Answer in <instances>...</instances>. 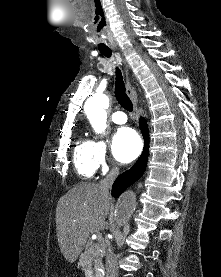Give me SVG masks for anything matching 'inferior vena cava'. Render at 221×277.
<instances>
[{
	"instance_id": "602c4592",
	"label": "inferior vena cava",
	"mask_w": 221,
	"mask_h": 277,
	"mask_svg": "<svg viewBox=\"0 0 221 277\" xmlns=\"http://www.w3.org/2000/svg\"><path fill=\"white\" fill-rule=\"evenodd\" d=\"M119 174V168L113 167L106 177L100 181V188L104 194L109 195L112 184ZM118 275V263L117 256L113 252L111 243L107 244L106 248V277H117Z\"/></svg>"
}]
</instances>
